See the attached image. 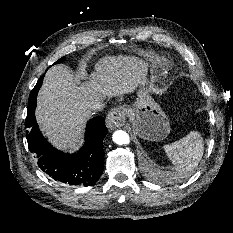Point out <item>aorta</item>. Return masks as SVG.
I'll use <instances>...</instances> for the list:
<instances>
[{
	"label": "aorta",
	"instance_id": "obj_1",
	"mask_svg": "<svg viewBox=\"0 0 233 233\" xmlns=\"http://www.w3.org/2000/svg\"><path fill=\"white\" fill-rule=\"evenodd\" d=\"M113 141L118 145H127L130 142V137L127 132L117 130L113 133Z\"/></svg>",
	"mask_w": 233,
	"mask_h": 233
}]
</instances>
